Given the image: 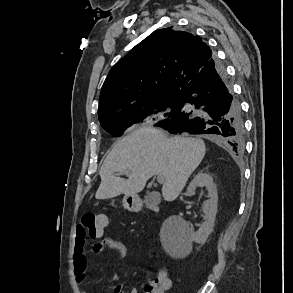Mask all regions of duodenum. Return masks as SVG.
<instances>
[{"mask_svg":"<svg viewBox=\"0 0 293 293\" xmlns=\"http://www.w3.org/2000/svg\"><path fill=\"white\" fill-rule=\"evenodd\" d=\"M137 207H138V208H141V205H138Z\"/></svg>","mask_w":293,"mask_h":293,"instance_id":"duodenum-1","label":"duodenum"}]
</instances>
